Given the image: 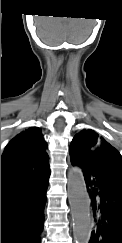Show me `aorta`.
Returning <instances> with one entry per match:
<instances>
[{"mask_svg": "<svg viewBox=\"0 0 122 243\" xmlns=\"http://www.w3.org/2000/svg\"><path fill=\"white\" fill-rule=\"evenodd\" d=\"M68 199L73 219L75 243H89L91 236L90 207L83 172L73 167L68 172Z\"/></svg>", "mask_w": 122, "mask_h": 243, "instance_id": "1", "label": "aorta"}]
</instances>
